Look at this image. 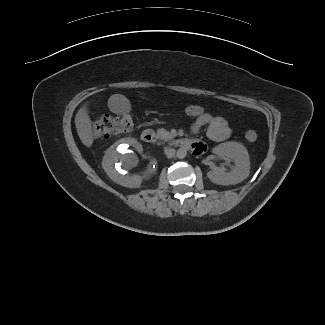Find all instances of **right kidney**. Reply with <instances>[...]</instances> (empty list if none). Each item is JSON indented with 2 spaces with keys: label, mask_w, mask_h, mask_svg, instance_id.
Segmentation results:
<instances>
[{
  "label": "right kidney",
  "mask_w": 325,
  "mask_h": 325,
  "mask_svg": "<svg viewBox=\"0 0 325 325\" xmlns=\"http://www.w3.org/2000/svg\"><path fill=\"white\" fill-rule=\"evenodd\" d=\"M102 167L110 179L128 188L140 187L154 171L145 162L142 145L132 138H123L110 146L103 157Z\"/></svg>",
  "instance_id": "obj_1"
}]
</instances>
